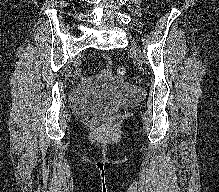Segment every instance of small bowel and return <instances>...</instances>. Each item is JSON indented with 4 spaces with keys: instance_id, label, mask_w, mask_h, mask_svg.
I'll list each match as a JSON object with an SVG mask.
<instances>
[{
    "instance_id": "obj_1",
    "label": "small bowel",
    "mask_w": 219,
    "mask_h": 192,
    "mask_svg": "<svg viewBox=\"0 0 219 192\" xmlns=\"http://www.w3.org/2000/svg\"><path fill=\"white\" fill-rule=\"evenodd\" d=\"M109 71H110L109 67H106V68H104V69L102 70L103 73H107V72H109ZM80 74H81V73L79 72L78 75H80Z\"/></svg>"
}]
</instances>
